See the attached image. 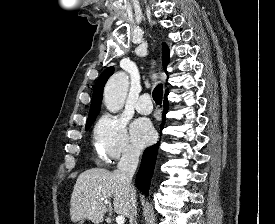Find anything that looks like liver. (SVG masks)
I'll use <instances>...</instances> for the list:
<instances>
[{
  "mask_svg": "<svg viewBox=\"0 0 275 224\" xmlns=\"http://www.w3.org/2000/svg\"><path fill=\"white\" fill-rule=\"evenodd\" d=\"M129 194L118 170L90 169L81 173L70 201L72 222L88 219L94 224L103 222L108 211L104 201L113 199L114 211L129 217Z\"/></svg>",
  "mask_w": 275,
  "mask_h": 224,
  "instance_id": "6515ba94",
  "label": "liver"
}]
</instances>
